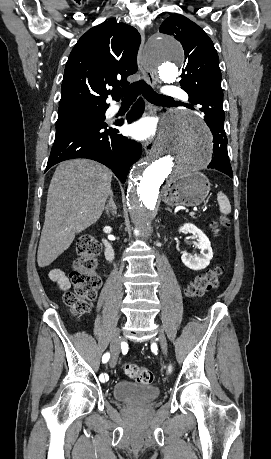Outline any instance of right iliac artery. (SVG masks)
Here are the masks:
<instances>
[{"instance_id":"1","label":"right iliac artery","mask_w":271,"mask_h":459,"mask_svg":"<svg viewBox=\"0 0 271 459\" xmlns=\"http://www.w3.org/2000/svg\"><path fill=\"white\" fill-rule=\"evenodd\" d=\"M110 358V354L109 353H105L102 357V362L103 363H106L108 362ZM103 378H104V382H109V377H108V373H103Z\"/></svg>"}]
</instances>
